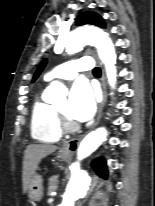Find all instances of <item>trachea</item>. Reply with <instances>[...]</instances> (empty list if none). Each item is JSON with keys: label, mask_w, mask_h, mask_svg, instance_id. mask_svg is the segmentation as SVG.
I'll list each match as a JSON object with an SVG mask.
<instances>
[{"label": "trachea", "mask_w": 155, "mask_h": 206, "mask_svg": "<svg viewBox=\"0 0 155 206\" xmlns=\"http://www.w3.org/2000/svg\"><path fill=\"white\" fill-rule=\"evenodd\" d=\"M93 74L96 76H100L101 75V70L98 67H95L93 70Z\"/></svg>", "instance_id": "obj_1"}]
</instances>
